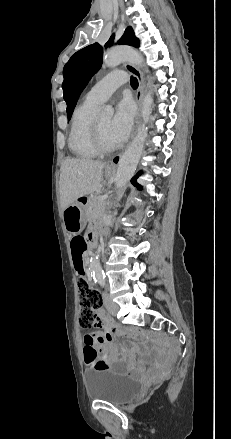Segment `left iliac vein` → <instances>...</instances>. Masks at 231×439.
<instances>
[{"instance_id": "left-iliac-vein-1", "label": "left iliac vein", "mask_w": 231, "mask_h": 439, "mask_svg": "<svg viewBox=\"0 0 231 439\" xmlns=\"http://www.w3.org/2000/svg\"><path fill=\"white\" fill-rule=\"evenodd\" d=\"M103 299H104L105 306H106L107 310L109 311V313H111L112 315H116L119 307L116 303H114L112 301V299L110 298L107 291L103 292Z\"/></svg>"}]
</instances>
